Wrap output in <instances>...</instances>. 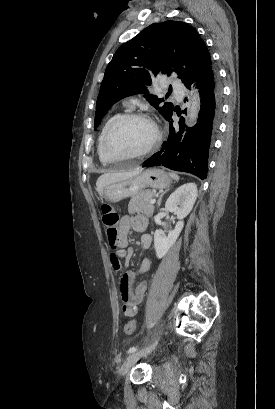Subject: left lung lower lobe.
I'll list each match as a JSON object with an SVG mask.
<instances>
[{
  "label": "left lung lower lobe",
  "mask_w": 275,
  "mask_h": 409,
  "mask_svg": "<svg viewBox=\"0 0 275 409\" xmlns=\"http://www.w3.org/2000/svg\"><path fill=\"white\" fill-rule=\"evenodd\" d=\"M193 82H196L201 98L197 124L185 130L181 120L180 128L176 130L172 120L175 111L173 108L172 113L166 118L170 127L167 141L163 143L160 151L146 160L143 167L163 165L171 170L191 173L202 180L207 178L211 139L218 130L222 113V85L212 62L196 79L185 86L190 88Z\"/></svg>",
  "instance_id": "left-lung-lower-lobe-1"
}]
</instances>
